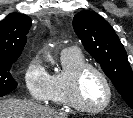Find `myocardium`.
Instances as JSON below:
<instances>
[{
	"label": "myocardium",
	"instance_id": "myocardium-1",
	"mask_svg": "<svg viewBox=\"0 0 133 118\" xmlns=\"http://www.w3.org/2000/svg\"><path fill=\"white\" fill-rule=\"evenodd\" d=\"M87 70H93L95 71L103 80L106 90H107V98L105 102L98 107H88L86 106L79 94V89H80V82L83 74ZM67 99L70 104L74 109L88 113V114H98L103 111H105L110 104L112 103L113 100V88L111 81L107 74L97 65L92 64V63H82L78 67H76L69 75L68 81H67Z\"/></svg>",
	"mask_w": 133,
	"mask_h": 118
}]
</instances>
